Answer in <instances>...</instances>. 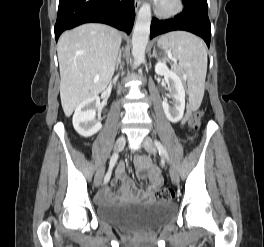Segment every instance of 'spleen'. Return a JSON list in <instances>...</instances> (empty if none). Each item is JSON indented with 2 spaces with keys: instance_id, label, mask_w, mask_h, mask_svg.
<instances>
[{
  "instance_id": "3e777b00",
  "label": "spleen",
  "mask_w": 264,
  "mask_h": 247,
  "mask_svg": "<svg viewBox=\"0 0 264 247\" xmlns=\"http://www.w3.org/2000/svg\"><path fill=\"white\" fill-rule=\"evenodd\" d=\"M158 45L179 61L180 70L187 77L191 101L201 103L207 72V51L203 41L191 33L177 31L162 36Z\"/></svg>"
}]
</instances>
